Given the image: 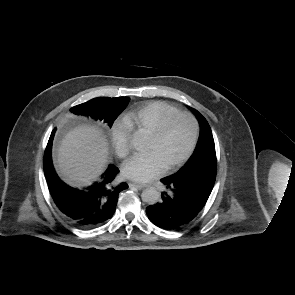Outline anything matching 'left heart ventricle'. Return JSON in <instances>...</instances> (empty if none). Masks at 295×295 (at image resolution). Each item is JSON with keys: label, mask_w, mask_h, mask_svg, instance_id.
<instances>
[{"label": "left heart ventricle", "mask_w": 295, "mask_h": 295, "mask_svg": "<svg viewBox=\"0 0 295 295\" xmlns=\"http://www.w3.org/2000/svg\"><path fill=\"white\" fill-rule=\"evenodd\" d=\"M193 136V124L185 116L171 120L159 139L150 136L147 152H155L166 167L178 160L188 149Z\"/></svg>", "instance_id": "left-heart-ventricle-1"}]
</instances>
